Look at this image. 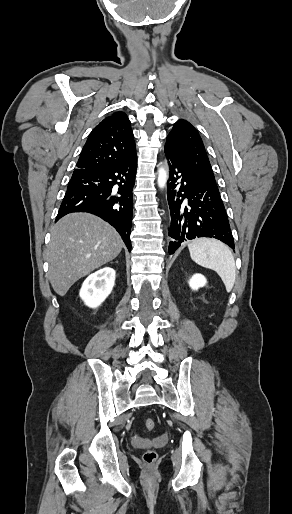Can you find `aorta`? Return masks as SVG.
Segmentation results:
<instances>
[{
	"instance_id": "obj_1",
	"label": "aorta",
	"mask_w": 292,
	"mask_h": 514,
	"mask_svg": "<svg viewBox=\"0 0 292 514\" xmlns=\"http://www.w3.org/2000/svg\"><path fill=\"white\" fill-rule=\"evenodd\" d=\"M167 182V172L165 168H159L158 170V186L159 188H164Z\"/></svg>"
}]
</instances>
